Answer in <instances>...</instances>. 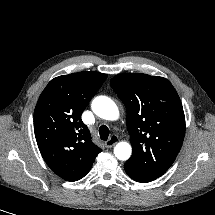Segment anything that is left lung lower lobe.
<instances>
[{
	"instance_id": "left-lung-lower-lobe-1",
	"label": "left lung lower lobe",
	"mask_w": 215,
	"mask_h": 215,
	"mask_svg": "<svg viewBox=\"0 0 215 215\" xmlns=\"http://www.w3.org/2000/svg\"><path fill=\"white\" fill-rule=\"evenodd\" d=\"M125 168V167H124ZM125 171L126 173L128 174V176L130 178H132L133 180L137 181V182H140V183H147V182H151L153 181V179H149V178H145V177H142L140 175H137L135 172L125 168Z\"/></svg>"
}]
</instances>
